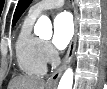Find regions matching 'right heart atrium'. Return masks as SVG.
Wrapping results in <instances>:
<instances>
[{"instance_id": "obj_1", "label": "right heart atrium", "mask_w": 107, "mask_h": 89, "mask_svg": "<svg viewBox=\"0 0 107 89\" xmlns=\"http://www.w3.org/2000/svg\"><path fill=\"white\" fill-rule=\"evenodd\" d=\"M43 55L46 62L52 61L54 57L53 49L51 48L50 44L47 42H43Z\"/></svg>"}]
</instances>
